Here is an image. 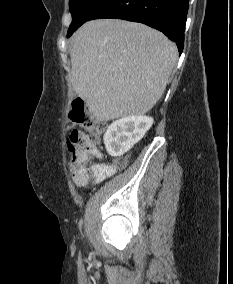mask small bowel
<instances>
[{"label": "small bowel", "mask_w": 233, "mask_h": 284, "mask_svg": "<svg viewBox=\"0 0 233 284\" xmlns=\"http://www.w3.org/2000/svg\"><path fill=\"white\" fill-rule=\"evenodd\" d=\"M127 164L126 158L114 159L110 163H96L86 169V177L80 186L87 185L91 180L102 182L113 176L118 170L124 168Z\"/></svg>", "instance_id": "small-bowel-1"}]
</instances>
